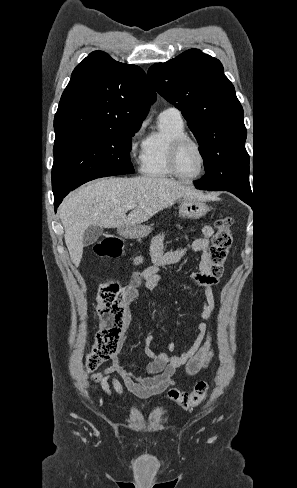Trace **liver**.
I'll list each match as a JSON object with an SVG mask.
<instances>
[{
    "label": "liver",
    "mask_w": 297,
    "mask_h": 488,
    "mask_svg": "<svg viewBox=\"0 0 297 488\" xmlns=\"http://www.w3.org/2000/svg\"><path fill=\"white\" fill-rule=\"evenodd\" d=\"M184 198L203 200L206 196L178 181L162 177L101 178L78 188L64 199L59 210L72 262L76 267L80 265L83 235L89 226L139 225ZM129 203H135L136 207L126 216L124 205Z\"/></svg>",
    "instance_id": "liver-1"
}]
</instances>
